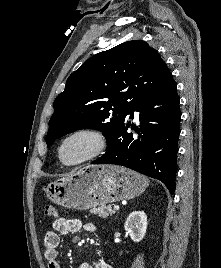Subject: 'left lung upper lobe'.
Returning <instances> with one entry per match:
<instances>
[{
  "label": "left lung upper lobe",
  "instance_id": "5c2ea615",
  "mask_svg": "<svg viewBox=\"0 0 221 268\" xmlns=\"http://www.w3.org/2000/svg\"><path fill=\"white\" fill-rule=\"evenodd\" d=\"M158 52L145 41L124 42L85 61L54 101L47 146L80 129H97L107 141L139 100L172 79Z\"/></svg>",
  "mask_w": 221,
  "mask_h": 268
}]
</instances>
